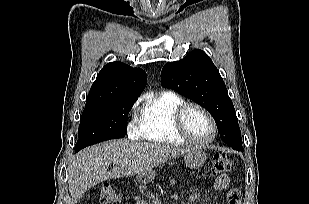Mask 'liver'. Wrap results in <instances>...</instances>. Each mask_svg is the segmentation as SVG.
Instances as JSON below:
<instances>
[{
  "label": "liver",
  "instance_id": "1",
  "mask_svg": "<svg viewBox=\"0 0 309 204\" xmlns=\"http://www.w3.org/2000/svg\"><path fill=\"white\" fill-rule=\"evenodd\" d=\"M189 149L126 139L104 142L80 151L68 166L69 192L77 202L91 187L148 171ZM109 164L113 169L108 171Z\"/></svg>",
  "mask_w": 309,
  "mask_h": 204
}]
</instances>
